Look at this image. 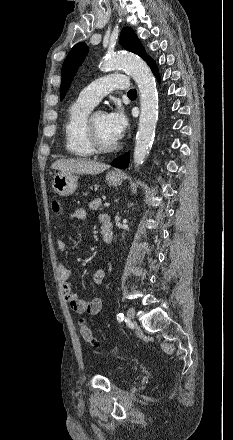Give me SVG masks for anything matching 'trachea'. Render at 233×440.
Listing matches in <instances>:
<instances>
[{"instance_id": "obj_1", "label": "trachea", "mask_w": 233, "mask_h": 440, "mask_svg": "<svg viewBox=\"0 0 233 440\" xmlns=\"http://www.w3.org/2000/svg\"><path fill=\"white\" fill-rule=\"evenodd\" d=\"M136 95H137V92L135 89H131L128 91V96H136Z\"/></svg>"}]
</instances>
